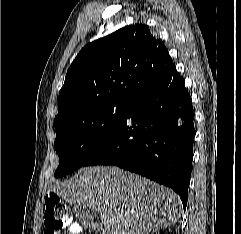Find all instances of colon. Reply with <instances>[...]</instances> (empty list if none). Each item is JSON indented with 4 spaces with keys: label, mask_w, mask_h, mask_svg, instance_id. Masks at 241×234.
Here are the masks:
<instances>
[{
    "label": "colon",
    "mask_w": 241,
    "mask_h": 234,
    "mask_svg": "<svg viewBox=\"0 0 241 234\" xmlns=\"http://www.w3.org/2000/svg\"><path fill=\"white\" fill-rule=\"evenodd\" d=\"M45 204L44 223L48 228L46 231H59L68 227L72 234H78L79 228L72 224L68 206L57 195L47 194Z\"/></svg>",
    "instance_id": "obj_1"
}]
</instances>
